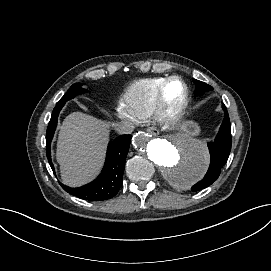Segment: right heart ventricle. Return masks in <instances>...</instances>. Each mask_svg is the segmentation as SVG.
<instances>
[{"mask_svg": "<svg viewBox=\"0 0 271 271\" xmlns=\"http://www.w3.org/2000/svg\"><path fill=\"white\" fill-rule=\"evenodd\" d=\"M167 78L166 76L141 78L126 88L122 102L130 117L143 121L154 114L160 87Z\"/></svg>", "mask_w": 271, "mask_h": 271, "instance_id": "e07e8e85", "label": "right heart ventricle"}]
</instances>
